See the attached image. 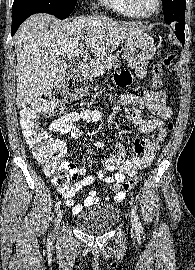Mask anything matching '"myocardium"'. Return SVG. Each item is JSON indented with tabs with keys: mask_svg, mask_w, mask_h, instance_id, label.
<instances>
[{
	"mask_svg": "<svg viewBox=\"0 0 195 270\" xmlns=\"http://www.w3.org/2000/svg\"><path fill=\"white\" fill-rule=\"evenodd\" d=\"M135 6L137 7V9L143 13L146 17L149 16H153L155 14H157L162 7V0H155L156 6L154 9L152 10H148L144 7L142 0H134Z\"/></svg>",
	"mask_w": 195,
	"mask_h": 270,
	"instance_id": "1",
	"label": "myocardium"
}]
</instances>
